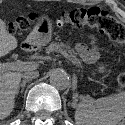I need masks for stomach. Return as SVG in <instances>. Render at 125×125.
I'll return each instance as SVG.
<instances>
[{"instance_id": "stomach-1", "label": "stomach", "mask_w": 125, "mask_h": 125, "mask_svg": "<svg viewBox=\"0 0 125 125\" xmlns=\"http://www.w3.org/2000/svg\"><path fill=\"white\" fill-rule=\"evenodd\" d=\"M38 20H42V15H38ZM52 38V24L51 23H37L29 36L26 43L30 49L40 48L51 41ZM103 67H99L98 71L103 72Z\"/></svg>"}]
</instances>
